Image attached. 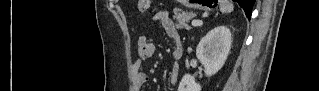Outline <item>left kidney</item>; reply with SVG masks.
Wrapping results in <instances>:
<instances>
[{"label": "left kidney", "mask_w": 319, "mask_h": 91, "mask_svg": "<svg viewBox=\"0 0 319 91\" xmlns=\"http://www.w3.org/2000/svg\"><path fill=\"white\" fill-rule=\"evenodd\" d=\"M232 43L231 32L226 26L210 30L196 48V56L204 66L206 77L216 74L224 65ZM178 91H201V85L190 74L183 76Z\"/></svg>", "instance_id": "1"}]
</instances>
